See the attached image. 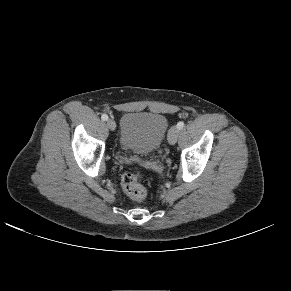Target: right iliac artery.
Returning a JSON list of instances; mask_svg holds the SVG:
<instances>
[{
    "label": "right iliac artery",
    "instance_id": "82829eb1",
    "mask_svg": "<svg viewBox=\"0 0 291 291\" xmlns=\"http://www.w3.org/2000/svg\"><path fill=\"white\" fill-rule=\"evenodd\" d=\"M103 121H107L108 120V116L106 114H102L101 116Z\"/></svg>",
    "mask_w": 291,
    "mask_h": 291
}]
</instances>
